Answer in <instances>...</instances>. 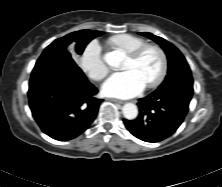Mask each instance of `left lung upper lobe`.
<instances>
[{"label": "left lung upper lobe", "mask_w": 222, "mask_h": 187, "mask_svg": "<svg viewBox=\"0 0 222 187\" xmlns=\"http://www.w3.org/2000/svg\"><path fill=\"white\" fill-rule=\"evenodd\" d=\"M140 34L157 42L167 55V75L164 82L155 91L161 92L164 88L170 86L171 84H175L176 87L174 89H178L181 86V77L191 76V70L182 53L173 44L159 36H155L148 32H142Z\"/></svg>", "instance_id": "5c2ea615"}]
</instances>
